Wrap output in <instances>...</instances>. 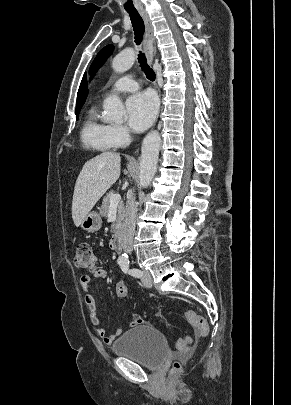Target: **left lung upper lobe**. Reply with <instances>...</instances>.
Listing matches in <instances>:
<instances>
[{
  "label": "left lung upper lobe",
  "instance_id": "1",
  "mask_svg": "<svg viewBox=\"0 0 291 405\" xmlns=\"http://www.w3.org/2000/svg\"><path fill=\"white\" fill-rule=\"evenodd\" d=\"M112 51L113 45H107L103 49H101L91 65L90 71L92 76L100 68L103 62L109 57V55H111Z\"/></svg>",
  "mask_w": 291,
  "mask_h": 405
}]
</instances>
